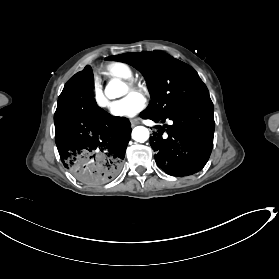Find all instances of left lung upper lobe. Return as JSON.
<instances>
[{
    "mask_svg": "<svg viewBox=\"0 0 279 279\" xmlns=\"http://www.w3.org/2000/svg\"><path fill=\"white\" fill-rule=\"evenodd\" d=\"M106 60L127 63L143 74L152 98L147 114L165 117L210 98L197 72L164 52L125 53Z\"/></svg>",
    "mask_w": 279,
    "mask_h": 279,
    "instance_id": "1",
    "label": "left lung upper lobe"
}]
</instances>
